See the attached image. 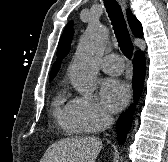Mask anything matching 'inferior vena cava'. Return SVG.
<instances>
[{"label": "inferior vena cava", "mask_w": 168, "mask_h": 162, "mask_svg": "<svg viewBox=\"0 0 168 162\" xmlns=\"http://www.w3.org/2000/svg\"><path fill=\"white\" fill-rule=\"evenodd\" d=\"M113 122H114V119L111 116L105 115V117H104V126L105 127H107V128L110 127L113 124Z\"/></svg>", "instance_id": "inferior-vena-cava-1"}]
</instances>
